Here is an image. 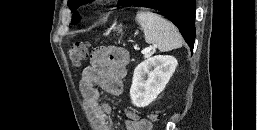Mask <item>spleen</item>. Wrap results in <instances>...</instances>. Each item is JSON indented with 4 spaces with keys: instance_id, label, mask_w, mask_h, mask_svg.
Segmentation results:
<instances>
[{
    "instance_id": "1",
    "label": "spleen",
    "mask_w": 257,
    "mask_h": 130,
    "mask_svg": "<svg viewBox=\"0 0 257 130\" xmlns=\"http://www.w3.org/2000/svg\"><path fill=\"white\" fill-rule=\"evenodd\" d=\"M136 21L144 32L145 41L155 45L161 52L182 46L183 39L178 29L160 15L141 10L137 12Z\"/></svg>"
}]
</instances>
